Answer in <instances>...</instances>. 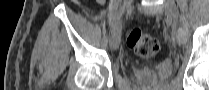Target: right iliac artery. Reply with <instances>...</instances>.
<instances>
[{"mask_svg": "<svg viewBox=\"0 0 209 90\" xmlns=\"http://www.w3.org/2000/svg\"><path fill=\"white\" fill-rule=\"evenodd\" d=\"M125 5H126V1L124 2L123 6H121L115 13L114 19H113V24H112V29L111 32H114L117 24L120 21V18L122 17V14L124 12L125 9Z\"/></svg>", "mask_w": 209, "mask_h": 90, "instance_id": "1", "label": "right iliac artery"}]
</instances>
